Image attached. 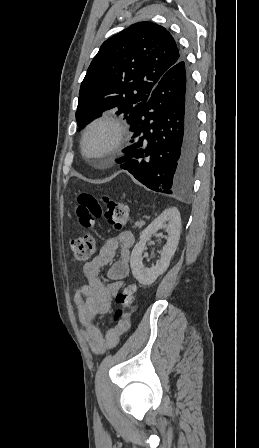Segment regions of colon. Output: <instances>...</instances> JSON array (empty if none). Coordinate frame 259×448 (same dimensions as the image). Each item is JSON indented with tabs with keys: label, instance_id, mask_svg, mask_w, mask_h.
<instances>
[{
	"label": "colon",
	"instance_id": "colon-1",
	"mask_svg": "<svg viewBox=\"0 0 259 448\" xmlns=\"http://www.w3.org/2000/svg\"><path fill=\"white\" fill-rule=\"evenodd\" d=\"M102 202L105 205L104 208L99 199L88 192L80 193L77 198L75 212L80 226L86 232L71 243L72 256L75 261H85L94 253L96 243L93 229L96 219L104 218L115 229H121L130 221L129 207L125 203L107 196L102 198ZM115 297L118 304L115 311V321L119 323L127 317L129 308L135 302V287L128 285Z\"/></svg>",
	"mask_w": 259,
	"mask_h": 448
}]
</instances>
